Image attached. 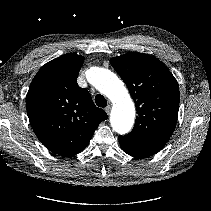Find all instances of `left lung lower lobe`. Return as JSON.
Here are the masks:
<instances>
[{
    "label": "left lung lower lobe",
    "instance_id": "0a47b994",
    "mask_svg": "<svg viewBox=\"0 0 211 211\" xmlns=\"http://www.w3.org/2000/svg\"><path fill=\"white\" fill-rule=\"evenodd\" d=\"M122 150L137 158H146L159 152L167 143L163 139H145L132 136H119Z\"/></svg>",
    "mask_w": 211,
    "mask_h": 211
}]
</instances>
